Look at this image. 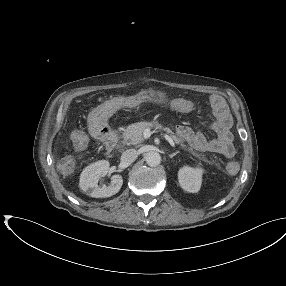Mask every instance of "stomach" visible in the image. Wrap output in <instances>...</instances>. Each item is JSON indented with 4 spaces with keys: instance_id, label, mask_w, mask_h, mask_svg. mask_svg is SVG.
<instances>
[{
    "instance_id": "stomach-1",
    "label": "stomach",
    "mask_w": 286,
    "mask_h": 286,
    "mask_svg": "<svg viewBox=\"0 0 286 286\" xmlns=\"http://www.w3.org/2000/svg\"><path fill=\"white\" fill-rule=\"evenodd\" d=\"M141 97L145 101L161 104L167 101L166 93L159 90H147L141 93Z\"/></svg>"
}]
</instances>
